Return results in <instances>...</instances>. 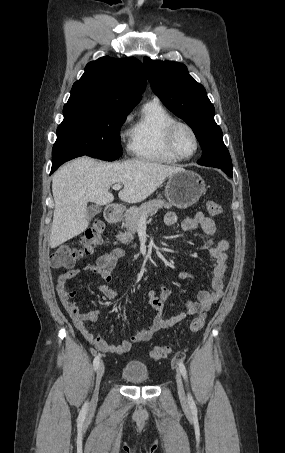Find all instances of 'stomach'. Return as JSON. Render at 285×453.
Here are the masks:
<instances>
[{"instance_id":"obj_1","label":"stomach","mask_w":285,"mask_h":453,"mask_svg":"<svg viewBox=\"0 0 285 453\" xmlns=\"http://www.w3.org/2000/svg\"><path fill=\"white\" fill-rule=\"evenodd\" d=\"M205 190V182L199 174L182 169L168 177L165 196L173 206L187 208L195 204Z\"/></svg>"}]
</instances>
